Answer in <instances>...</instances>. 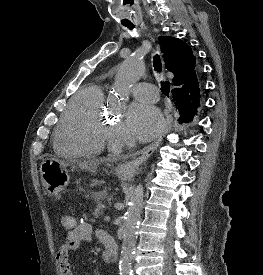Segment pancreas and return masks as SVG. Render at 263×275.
Instances as JSON below:
<instances>
[{
    "mask_svg": "<svg viewBox=\"0 0 263 275\" xmlns=\"http://www.w3.org/2000/svg\"><path fill=\"white\" fill-rule=\"evenodd\" d=\"M93 197L97 203V207L95 211L93 212V215L95 218H99L103 214V208L105 207L102 201L105 198V193L103 192H95L93 193Z\"/></svg>",
    "mask_w": 263,
    "mask_h": 275,
    "instance_id": "1",
    "label": "pancreas"
}]
</instances>
